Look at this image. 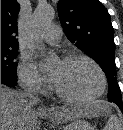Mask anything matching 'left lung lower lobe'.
Listing matches in <instances>:
<instances>
[{"instance_id":"1","label":"left lung lower lobe","mask_w":123,"mask_h":130,"mask_svg":"<svg viewBox=\"0 0 123 130\" xmlns=\"http://www.w3.org/2000/svg\"><path fill=\"white\" fill-rule=\"evenodd\" d=\"M120 110L122 111V113H123V108H120Z\"/></svg>"}]
</instances>
